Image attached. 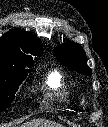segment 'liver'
<instances>
[{
	"label": "liver",
	"instance_id": "1",
	"mask_svg": "<svg viewBox=\"0 0 108 127\" xmlns=\"http://www.w3.org/2000/svg\"><path fill=\"white\" fill-rule=\"evenodd\" d=\"M20 127H62V125L44 119H33L22 124Z\"/></svg>",
	"mask_w": 108,
	"mask_h": 127
}]
</instances>
